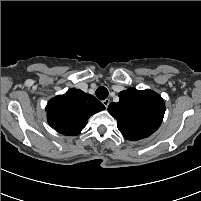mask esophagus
Here are the masks:
<instances>
[{
  "instance_id": "obj_1",
  "label": "esophagus",
  "mask_w": 201,
  "mask_h": 201,
  "mask_svg": "<svg viewBox=\"0 0 201 201\" xmlns=\"http://www.w3.org/2000/svg\"><path fill=\"white\" fill-rule=\"evenodd\" d=\"M102 103L107 108L109 106V104H110V100L109 99H105V100L102 101Z\"/></svg>"
}]
</instances>
